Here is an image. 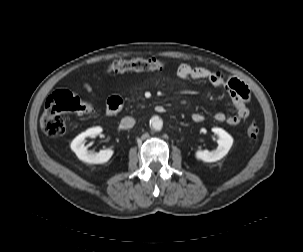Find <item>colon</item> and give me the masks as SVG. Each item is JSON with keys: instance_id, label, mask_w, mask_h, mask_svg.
Masks as SVG:
<instances>
[{"instance_id": "colon-1", "label": "colon", "mask_w": 303, "mask_h": 252, "mask_svg": "<svg viewBox=\"0 0 303 252\" xmlns=\"http://www.w3.org/2000/svg\"><path fill=\"white\" fill-rule=\"evenodd\" d=\"M165 63L157 59L115 60L108 65L110 73H125L128 71L163 70ZM91 104L82 101L78 96L67 89H61L51 94L46 102L41 117V127L50 137H60L66 134L67 127L62 118L63 113L88 114L92 112ZM259 128L250 124L247 134L255 138Z\"/></svg>"}]
</instances>
